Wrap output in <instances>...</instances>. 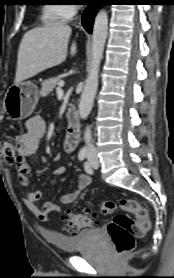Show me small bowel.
Masks as SVG:
<instances>
[{
	"label": "small bowel",
	"instance_id": "1",
	"mask_svg": "<svg viewBox=\"0 0 174 278\" xmlns=\"http://www.w3.org/2000/svg\"><path fill=\"white\" fill-rule=\"evenodd\" d=\"M45 133V122L40 116H33L26 122V130L24 133L18 135L15 139L16 158L14 166L17 171L18 181L21 186L29 184L30 167L27 158L35 154L39 147V143ZM66 168L60 166L53 172L54 175L59 176L64 174ZM92 183V177L88 174H82L78 177L77 188L72 192L65 193L61 196V203L71 204L79 196L80 192L87 188ZM23 203L26 208L38 219L42 221L49 220V214L57 213L60 207L52 202H45L41 206L37 202L42 198V192L39 189L23 193Z\"/></svg>",
	"mask_w": 174,
	"mask_h": 278
}]
</instances>
